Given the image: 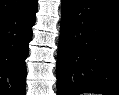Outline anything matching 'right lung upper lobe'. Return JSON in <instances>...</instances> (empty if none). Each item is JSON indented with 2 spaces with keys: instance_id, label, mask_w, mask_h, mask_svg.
<instances>
[{
  "instance_id": "cb5924a9",
  "label": "right lung upper lobe",
  "mask_w": 119,
  "mask_h": 95,
  "mask_svg": "<svg viewBox=\"0 0 119 95\" xmlns=\"http://www.w3.org/2000/svg\"><path fill=\"white\" fill-rule=\"evenodd\" d=\"M34 1L35 0H0V19L21 11Z\"/></svg>"
}]
</instances>
